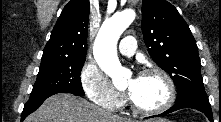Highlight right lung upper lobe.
I'll return each mask as SVG.
<instances>
[{
	"instance_id": "1",
	"label": "right lung upper lobe",
	"mask_w": 221,
	"mask_h": 122,
	"mask_svg": "<svg viewBox=\"0 0 221 122\" xmlns=\"http://www.w3.org/2000/svg\"><path fill=\"white\" fill-rule=\"evenodd\" d=\"M89 0H71L57 20L42 60L83 59L87 53Z\"/></svg>"
}]
</instances>
